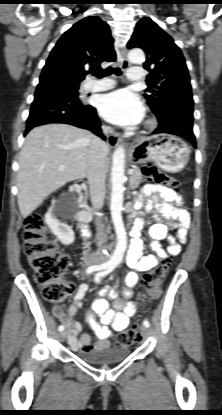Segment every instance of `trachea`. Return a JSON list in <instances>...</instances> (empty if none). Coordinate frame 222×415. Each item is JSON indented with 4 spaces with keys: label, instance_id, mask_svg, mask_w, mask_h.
Here are the masks:
<instances>
[{
    "label": "trachea",
    "instance_id": "obj_1",
    "mask_svg": "<svg viewBox=\"0 0 222 415\" xmlns=\"http://www.w3.org/2000/svg\"><path fill=\"white\" fill-rule=\"evenodd\" d=\"M113 73L115 75H117V76H120L122 74L121 70L118 67L117 68L108 67V68H106L104 70L93 72V75L96 76V77H98V78H102V77L109 76V75H111Z\"/></svg>",
    "mask_w": 222,
    "mask_h": 415
}]
</instances>
